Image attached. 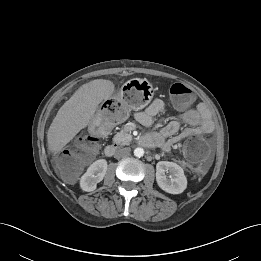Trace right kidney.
<instances>
[{
    "mask_svg": "<svg viewBox=\"0 0 261 261\" xmlns=\"http://www.w3.org/2000/svg\"><path fill=\"white\" fill-rule=\"evenodd\" d=\"M107 167L108 164L105 159H99L91 164L80 179L81 189L86 192L95 190L97 183L103 180Z\"/></svg>",
    "mask_w": 261,
    "mask_h": 261,
    "instance_id": "right-kidney-1",
    "label": "right kidney"
}]
</instances>
